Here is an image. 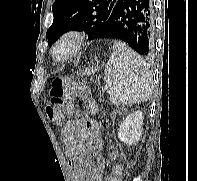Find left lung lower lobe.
<instances>
[{
	"instance_id": "1",
	"label": "left lung lower lobe",
	"mask_w": 197,
	"mask_h": 181,
	"mask_svg": "<svg viewBox=\"0 0 197 181\" xmlns=\"http://www.w3.org/2000/svg\"><path fill=\"white\" fill-rule=\"evenodd\" d=\"M152 0H118L100 33V38L125 42L141 56L153 52Z\"/></svg>"
}]
</instances>
